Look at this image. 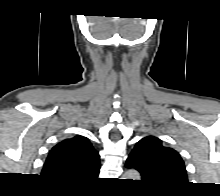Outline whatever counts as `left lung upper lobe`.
Masks as SVG:
<instances>
[{"label": "left lung upper lobe", "instance_id": "1", "mask_svg": "<svg viewBox=\"0 0 220 196\" xmlns=\"http://www.w3.org/2000/svg\"><path fill=\"white\" fill-rule=\"evenodd\" d=\"M126 167L135 168L142 181L160 192H170L187 183V173L179 153L162 145L154 136L142 138L127 158Z\"/></svg>", "mask_w": 220, "mask_h": 196}]
</instances>
